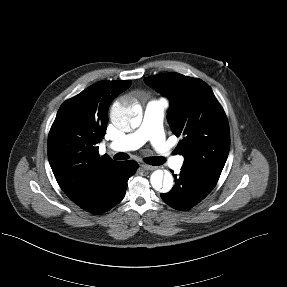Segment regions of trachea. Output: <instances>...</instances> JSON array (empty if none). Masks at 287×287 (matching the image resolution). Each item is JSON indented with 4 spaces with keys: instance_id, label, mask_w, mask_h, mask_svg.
<instances>
[{
    "instance_id": "3493384b",
    "label": "trachea",
    "mask_w": 287,
    "mask_h": 287,
    "mask_svg": "<svg viewBox=\"0 0 287 287\" xmlns=\"http://www.w3.org/2000/svg\"><path fill=\"white\" fill-rule=\"evenodd\" d=\"M115 160H127L129 159V156L126 153H117L114 155ZM145 162L153 165V166H159L162 165L165 160L162 157H148L145 159Z\"/></svg>"
}]
</instances>
